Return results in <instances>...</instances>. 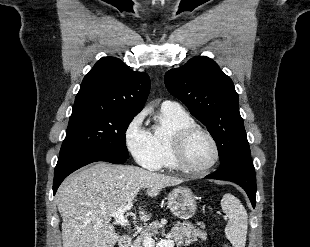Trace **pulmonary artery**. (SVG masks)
Instances as JSON below:
<instances>
[{"instance_id":"obj_1","label":"pulmonary artery","mask_w":310,"mask_h":247,"mask_svg":"<svg viewBox=\"0 0 310 247\" xmlns=\"http://www.w3.org/2000/svg\"><path fill=\"white\" fill-rule=\"evenodd\" d=\"M161 108L182 109L177 102L172 100H164L161 104Z\"/></svg>"}]
</instances>
